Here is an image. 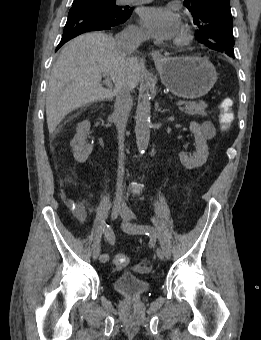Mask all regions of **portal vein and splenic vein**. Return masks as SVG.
<instances>
[{
    "label": "portal vein and splenic vein",
    "instance_id": "obj_1",
    "mask_svg": "<svg viewBox=\"0 0 261 340\" xmlns=\"http://www.w3.org/2000/svg\"><path fill=\"white\" fill-rule=\"evenodd\" d=\"M104 83L109 88H111L113 86L111 81L108 78L105 79ZM184 103H185L184 101H178V102H176V106H182V105H184Z\"/></svg>",
    "mask_w": 261,
    "mask_h": 340
}]
</instances>
